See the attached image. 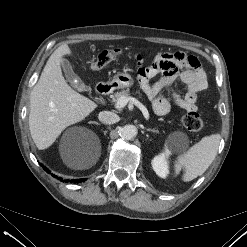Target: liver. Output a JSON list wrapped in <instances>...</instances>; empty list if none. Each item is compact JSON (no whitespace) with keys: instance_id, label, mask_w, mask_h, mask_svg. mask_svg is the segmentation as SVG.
Returning a JSON list of instances; mask_svg holds the SVG:
<instances>
[{"instance_id":"1","label":"liver","mask_w":247,"mask_h":247,"mask_svg":"<svg viewBox=\"0 0 247 247\" xmlns=\"http://www.w3.org/2000/svg\"><path fill=\"white\" fill-rule=\"evenodd\" d=\"M71 55L68 45L59 46L49 57L30 96L29 129L40 150L50 147L68 126L85 119L97 104L73 90L65 81L61 61ZM99 155L85 163L68 164L72 169L92 167Z\"/></svg>"}]
</instances>
